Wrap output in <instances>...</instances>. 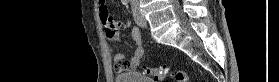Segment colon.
I'll use <instances>...</instances> for the list:
<instances>
[{
    "instance_id": "5ec220e1",
    "label": "colon",
    "mask_w": 279,
    "mask_h": 82,
    "mask_svg": "<svg viewBox=\"0 0 279 82\" xmlns=\"http://www.w3.org/2000/svg\"><path fill=\"white\" fill-rule=\"evenodd\" d=\"M100 18L106 28H111L113 20L105 6L100 7ZM166 67L150 68L145 67L144 73L150 75L154 81H161L167 73ZM175 82H188V74L184 71H177L174 74Z\"/></svg>"
}]
</instances>
